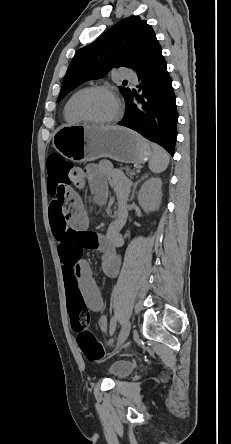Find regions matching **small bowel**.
I'll use <instances>...</instances> for the list:
<instances>
[{
  "instance_id": "1",
  "label": "small bowel",
  "mask_w": 231,
  "mask_h": 444,
  "mask_svg": "<svg viewBox=\"0 0 231 444\" xmlns=\"http://www.w3.org/2000/svg\"><path fill=\"white\" fill-rule=\"evenodd\" d=\"M72 183L78 188H84L88 183L97 202L106 199L109 188L115 192L117 215L106 233L100 234L88 229V216L80 196L71 186ZM128 189L127 180L108 163L102 162L79 170L78 175L71 178L69 186L61 193L60 199H54L49 207L50 226L58 244L66 291L80 293L89 309L94 312L101 311L104 302L91 268L82 258V252L84 249L101 252L103 272L110 277L117 275L121 260L118 248L123 244L121 228L126 219L125 201ZM98 325L106 332L105 316H100Z\"/></svg>"
}]
</instances>
